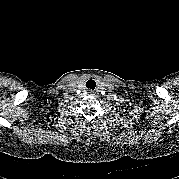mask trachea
<instances>
[{
	"label": "trachea",
	"instance_id": "1",
	"mask_svg": "<svg viewBox=\"0 0 179 179\" xmlns=\"http://www.w3.org/2000/svg\"><path fill=\"white\" fill-rule=\"evenodd\" d=\"M86 87H87L88 89L94 90L95 87H96V82H95V80L89 79V80L86 82Z\"/></svg>",
	"mask_w": 179,
	"mask_h": 179
}]
</instances>
